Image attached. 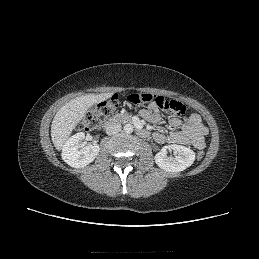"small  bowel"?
Masks as SVG:
<instances>
[{
    "instance_id": "1",
    "label": "small bowel",
    "mask_w": 259,
    "mask_h": 259,
    "mask_svg": "<svg viewBox=\"0 0 259 259\" xmlns=\"http://www.w3.org/2000/svg\"><path fill=\"white\" fill-rule=\"evenodd\" d=\"M142 118L149 122H158L160 115L158 109L154 105H149L147 109L140 111ZM171 132L166 135L162 131L154 133V139L157 143H165L170 141L176 144L191 145L196 149H203L205 147V136L208 129L203 123L200 115L193 113L186 120L178 117H173L169 121Z\"/></svg>"
}]
</instances>
